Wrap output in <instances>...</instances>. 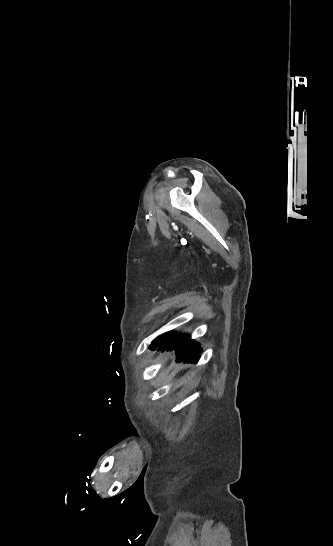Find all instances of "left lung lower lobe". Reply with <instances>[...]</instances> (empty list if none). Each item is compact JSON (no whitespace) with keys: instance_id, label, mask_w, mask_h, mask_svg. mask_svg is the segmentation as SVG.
<instances>
[{"instance_id":"obj_1","label":"left lung lower lobe","mask_w":333,"mask_h":546,"mask_svg":"<svg viewBox=\"0 0 333 546\" xmlns=\"http://www.w3.org/2000/svg\"><path fill=\"white\" fill-rule=\"evenodd\" d=\"M162 351L175 350L177 361L197 363L199 361L202 349L198 343L191 339L189 334L177 333L175 331L165 332L156 337L150 346L154 350L156 346Z\"/></svg>"}]
</instances>
